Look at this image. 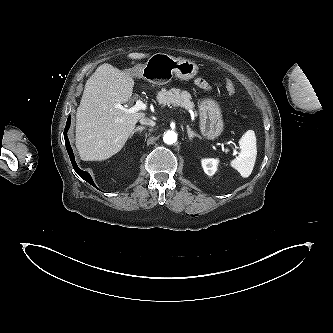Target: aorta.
<instances>
[{"instance_id": "762f6f07", "label": "aorta", "mask_w": 333, "mask_h": 333, "mask_svg": "<svg viewBox=\"0 0 333 333\" xmlns=\"http://www.w3.org/2000/svg\"><path fill=\"white\" fill-rule=\"evenodd\" d=\"M163 141L166 144H173L177 141V134L174 131H167L163 136Z\"/></svg>"}]
</instances>
